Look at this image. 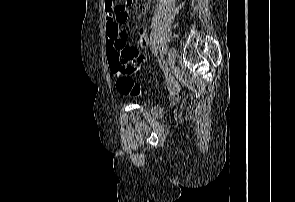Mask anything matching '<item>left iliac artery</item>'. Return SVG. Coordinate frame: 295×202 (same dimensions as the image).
<instances>
[{
  "instance_id": "obj_1",
  "label": "left iliac artery",
  "mask_w": 295,
  "mask_h": 202,
  "mask_svg": "<svg viewBox=\"0 0 295 202\" xmlns=\"http://www.w3.org/2000/svg\"><path fill=\"white\" fill-rule=\"evenodd\" d=\"M166 52H167V48H165V47L162 48V53H163V54H166Z\"/></svg>"
}]
</instances>
